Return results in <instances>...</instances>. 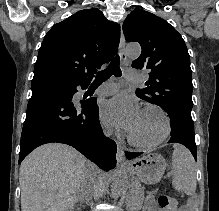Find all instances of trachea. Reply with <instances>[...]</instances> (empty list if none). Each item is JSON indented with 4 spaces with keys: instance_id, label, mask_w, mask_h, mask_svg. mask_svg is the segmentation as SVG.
<instances>
[{
    "instance_id": "1",
    "label": "trachea",
    "mask_w": 219,
    "mask_h": 211,
    "mask_svg": "<svg viewBox=\"0 0 219 211\" xmlns=\"http://www.w3.org/2000/svg\"><path fill=\"white\" fill-rule=\"evenodd\" d=\"M120 62H119V56H115L109 66L103 70L99 71L97 73V76L95 80L92 83V86L101 85L104 81L108 80L110 76H121V69H120Z\"/></svg>"
}]
</instances>
